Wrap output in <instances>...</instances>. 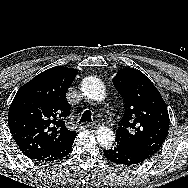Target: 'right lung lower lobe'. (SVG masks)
<instances>
[{"label": "right lung lower lobe", "instance_id": "right-lung-lower-lobe-1", "mask_svg": "<svg viewBox=\"0 0 188 188\" xmlns=\"http://www.w3.org/2000/svg\"><path fill=\"white\" fill-rule=\"evenodd\" d=\"M76 135L59 146L34 151L27 154L26 156L36 161H53L60 159L66 156L71 151Z\"/></svg>", "mask_w": 188, "mask_h": 188}]
</instances>
